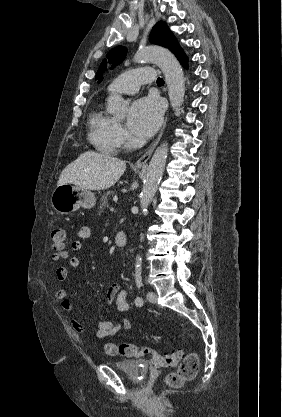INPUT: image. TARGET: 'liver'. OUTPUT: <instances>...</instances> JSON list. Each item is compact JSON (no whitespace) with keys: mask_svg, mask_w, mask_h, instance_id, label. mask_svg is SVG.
I'll use <instances>...</instances> for the list:
<instances>
[{"mask_svg":"<svg viewBox=\"0 0 282 417\" xmlns=\"http://www.w3.org/2000/svg\"><path fill=\"white\" fill-rule=\"evenodd\" d=\"M125 168V160L87 150L62 170L57 186L76 184L86 190H104L119 180Z\"/></svg>","mask_w":282,"mask_h":417,"instance_id":"6515ba94","label":"liver"}]
</instances>
